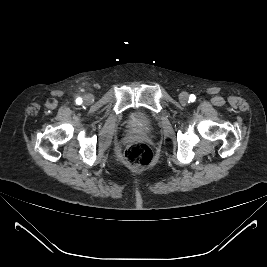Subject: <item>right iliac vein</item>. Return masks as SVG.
I'll return each instance as SVG.
<instances>
[{
    "mask_svg": "<svg viewBox=\"0 0 267 267\" xmlns=\"http://www.w3.org/2000/svg\"><path fill=\"white\" fill-rule=\"evenodd\" d=\"M92 101H93L92 95H86V96H84V103L90 104V103H92Z\"/></svg>",
    "mask_w": 267,
    "mask_h": 267,
    "instance_id": "63e3f726",
    "label": "right iliac vein"
}]
</instances>
